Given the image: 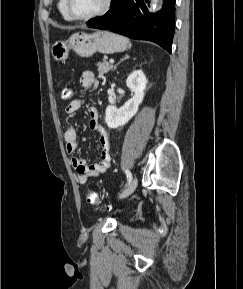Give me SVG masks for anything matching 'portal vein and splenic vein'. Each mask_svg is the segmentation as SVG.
Masks as SVG:
<instances>
[{
	"label": "portal vein and splenic vein",
	"instance_id": "18ae733b",
	"mask_svg": "<svg viewBox=\"0 0 243 289\" xmlns=\"http://www.w3.org/2000/svg\"><path fill=\"white\" fill-rule=\"evenodd\" d=\"M109 62H110L111 64H113V63H114V60H113V59H110Z\"/></svg>",
	"mask_w": 243,
	"mask_h": 289
}]
</instances>
